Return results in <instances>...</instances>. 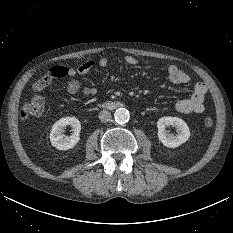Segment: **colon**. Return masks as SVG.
I'll return each mask as SVG.
<instances>
[{
    "label": "colon",
    "mask_w": 233,
    "mask_h": 233,
    "mask_svg": "<svg viewBox=\"0 0 233 233\" xmlns=\"http://www.w3.org/2000/svg\"><path fill=\"white\" fill-rule=\"evenodd\" d=\"M45 110V101L42 96L33 95L22 107L20 115L23 119L30 117H40ZM204 125L206 127H211L213 125V119L211 117H206L204 119Z\"/></svg>",
    "instance_id": "obj_1"
}]
</instances>
